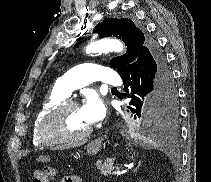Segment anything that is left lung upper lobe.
I'll return each instance as SVG.
<instances>
[{
	"label": "left lung upper lobe",
	"mask_w": 211,
	"mask_h": 182,
	"mask_svg": "<svg viewBox=\"0 0 211 182\" xmlns=\"http://www.w3.org/2000/svg\"><path fill=\"white\" fill-rule=\"evenodd\" d=\"M94 33L99 37H117L127 46V53L123 56L115 57L110 61V66L115 68L120 76L124 75L136 62L141 51L149 44L143 32L127 18H107L94 28ZM177 116V115H176ZM176 117L169 120L167 124H173Z\"/></svg>",
	"instance_id": "5c2ea615"
}]
</instances>
